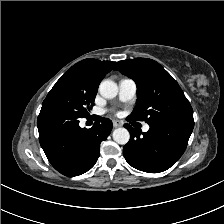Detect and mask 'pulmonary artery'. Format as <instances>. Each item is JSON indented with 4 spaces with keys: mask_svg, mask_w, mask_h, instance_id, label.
I'll return each instance as SVG.
<instances>
[{
    "mask_svg": "<svg viewBox=\"0 0 224 224\" xmlns=\"http://www.w3.org/2000/svg\"><path fill=\"white\" fill-rule=\"evenodd\" d=\"M136 83L130 78H123L119 81V99L122 102H128L132 100L136 94ZM149 125L143 126V131L147 132Z\"/></svg>",
    "mask_w": 224,
    "mask_h": 224,
    "instance_id": "1",
    "label": "pulmonary artery"
}]
</instances>
